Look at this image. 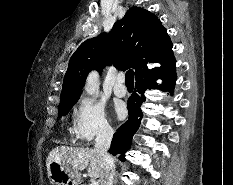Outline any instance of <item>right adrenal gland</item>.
Segmentation results:
<instances>
[{
    "label": "right adrenal gland",
    "mask_w": 233,
    "mask_h": 185,
    "mask_svg": "<svg viewBox=\"0 0 233 185\" xmlns=\"http://www.w3.org/2000/svg\"><path fill=\"white\" fill-rule=\"evenodd\" d=\"M117 182V175H116V178H115V183Z\"/></svg>",
    "instance_id": "right-adrenal-gland-1"
}]
</instances>
